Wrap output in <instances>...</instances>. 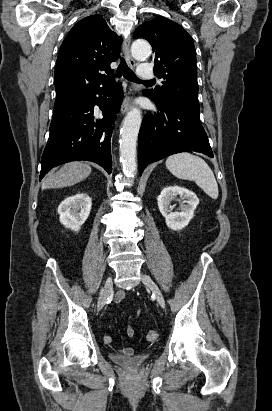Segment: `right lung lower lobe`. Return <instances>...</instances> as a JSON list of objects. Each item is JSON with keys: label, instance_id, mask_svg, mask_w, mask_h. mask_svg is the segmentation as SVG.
Segmentation results:
<instances>
[{"label": "right lung lower lobe", "instance_id": "98d812e1", "mask_svg": "<svg viewBox=\"0 0 272 411\" xmlns=\"http://www.w3.org/2000/svg\"><path fill=\"white\" fill-rule=\"evenodd\" d=\"M111 82L73 104L54 110L50 136L41 160V180L53 167L77 160L92 161L112 172L110 140L123 90ZM102 110L97 118L94 106Z\"/></svg>", "mask_w": 272, "mask_h": 411}]
</instances>
